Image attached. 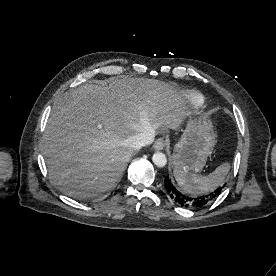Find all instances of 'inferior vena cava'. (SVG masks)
Segmentation results:
<instances>
[{"label":"inferior vena cava","mask_w":276,"mask_h":276,"mask_svg":"<svg viewBox=\"0 0 276 276\" xmlns=\"http://www.w3.org/2000/svg\"><path fill=\"white\" fill-rule=\"evenodd\" d=\"M155 132L154 131H145L131 136L128 139L129 146L134 150H139L144 146L150 145L154 141Z\"/></svg>","instance_id":"602c4592"}]
</instances>
